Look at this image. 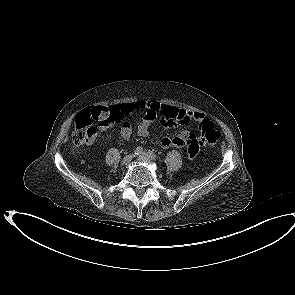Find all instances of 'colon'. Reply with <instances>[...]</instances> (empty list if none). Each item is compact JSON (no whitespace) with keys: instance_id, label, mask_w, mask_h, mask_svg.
<instances>
[{"instance_id":"obj_1","label":"colon","mask_w":295,"mask_h":295,"mask_svg":"<svg viewBox=\"0 0 295 295\" xmlns=\"http://www.w3.org/2000/svg\"><path fill=\"white\" fill-rule=\"evenodd\" d=\"M111 112L106 107H95L84 111L75 120V128L72 134V141L75 146H82L90 143L97 133L96 124L104 116H110ZM204 140L213 146L219 138V132L210 120H205L200 125Z\"/></svg>"}]
</instances>
